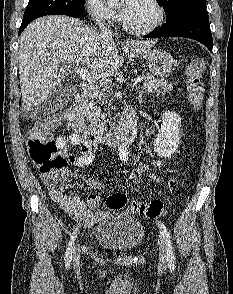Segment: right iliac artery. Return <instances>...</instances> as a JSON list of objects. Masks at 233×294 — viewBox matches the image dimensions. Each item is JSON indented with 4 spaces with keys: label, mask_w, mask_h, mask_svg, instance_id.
<instances>
[{
    "label": "right iliac artery",
    "mask_w": 233,
    "mask_h": 294,
    "mask_svg": "<svg viewBox=\"0 0 233 294\" xmlns=\"http://www.w3.org/2000/svg\"><path fill=\"white\" fill-rule=\"evenodd\" d=\"M77 231H78V226L74 229V231L71 235V239L68 243V247H67L66 254H65V267H66V269H68L70 266V262L72 259V253L74 250V243H75V240L77 237Z\"/></svg>",
    "instance_id": "obj_1"
}]
</instances>
